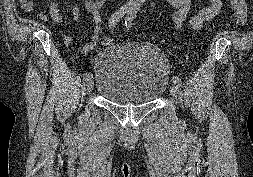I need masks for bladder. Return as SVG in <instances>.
Wrapping results in <instances>:
<instances>
[{
	"mask_svg": "<svg viewBox=\"0 0 253 177\" xmlns=\"http://www.w3.org/2000/svg\"><path fill=\"white\" fill-rule=\"evenodd\" d=\"M97 93L113 103H153L167 86L163 53L144 44L111 45L96 60Z\"/></svg>",
	"mask_w": 253,
	"mask_h": 177,
	"instance_id": "1",
	"label": "bladder"
}]
</instances>
